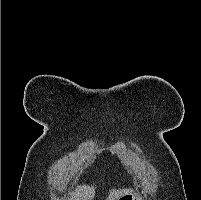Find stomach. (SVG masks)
<instances>
[{
	"instance_id": "0dacf381",
	"label": "stomach",
	"mask_w": 201,
	"mask_h": 200,
	"mask_svg": "<svg viewBox=\"0 0 201 200\" xmlns=\"http://www.w3.org/2000/svg\"><path fill=\"white\" fill-rule=\"evenodd\" d=\"M118 200H141L138 195L128 193L122 197H120Z\"/></svg>"
}]
</instances>
